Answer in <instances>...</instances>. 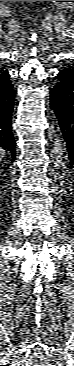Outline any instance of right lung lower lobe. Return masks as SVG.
Masks as SVG:
<instances>
[{
    "label": "right lung lower lobe",
    "instance_id": "1",
    "mask_svg": "<svg viewBox=\"0 0 74 366\" xmlns=\"http://www.w3.org/2000/svg\"><path fill=\"white\" fill-rule=\"evenodd\" d=\"M14 97L15 92L8 73L0 79V149L9 151L13 160L16 156V144L11 130Z\"/></svg>",
    "mask_w": 74,
    "mask_h": 366
}]
</instances>
